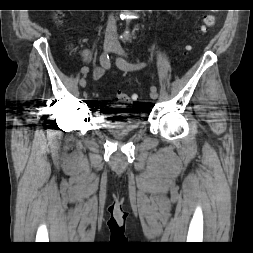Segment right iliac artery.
<instances>
[{
    "instance_id": "1",
    "label": "right iliac artery",
    "mask_w": 253,
    "mask_h": 253,
    "mask_svg": "<svg viewBox=\"0 0 253 253\" xmlns=\"http://www.w3.org/2000/svg\"><path fill=\"white\" fill-rule=\"evenodd\" d=\"M100 63L101 66L104 68H109L110 66V61H109V55L108 53H102L100 56ZM81 75H88L89 74V68L88 67H82L80 71Z\"/></svg>"
}]
</instances>
